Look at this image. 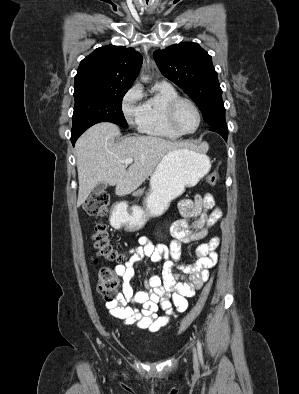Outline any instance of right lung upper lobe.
<instances>
[{
	"mask_svg": "<svg viewBox=\"0 0 299 394\" xmlns=\"http://www.w3.org/2000/svg\"><path fill=\"white\" fill-rule=\"evenodd\" d=\"M142 56L133 48L104 46L84 58L75 76L74 88H130L142 65Z\"/></svg>",
	"mask_w": 299,
	"mask_h": 394,
	"instance_id": "1",
	"label": "right lung upper lobe"
}]
</instances>
